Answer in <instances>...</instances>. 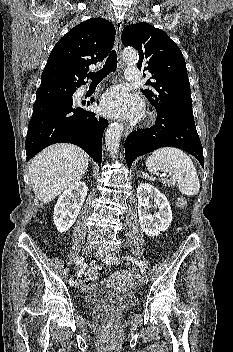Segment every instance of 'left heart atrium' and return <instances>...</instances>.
Returning <instances> with one entry per match:
<instances>
[{
  "mask_svg": "<svg viewBox=\"0 0 233 352\" xmlns=\"http://www.w3.org/2000/svg\"><path fill=\"white\" fill-rule=\"evenodd\" d=\"M101 109L112 117L129 118L138 113L140 100L123 87H114L103 95Z\"/></svg>",
  "mask_w": 233,
  "mask_h": 352,
  "instance_id": "1",
  "label": "left heart atrium"
}]
</instances>
